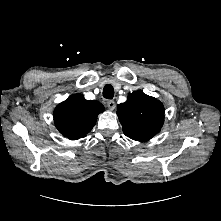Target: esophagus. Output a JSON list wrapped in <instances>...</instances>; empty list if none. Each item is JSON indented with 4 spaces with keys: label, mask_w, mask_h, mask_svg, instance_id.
<instances>
[{
    "label": "esophagus",
    "mask_w": 221,
    "mask_h": 221,
    "mask_svg": "<svg viewBox=\"0 0 221 221\" xmlns=\"http://www.w3.org/2000/svg\"><path fill=\"white\" fill-rule=\"evenodd\" d=\"M106 105H107V107H108L110 110H114L115 107H116V104H115V102H114L113 100H108V101L106 102Z\"/></svg>",
    "instance_id": "obj_1"
}]
</instances>
